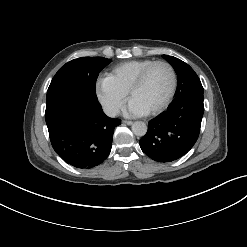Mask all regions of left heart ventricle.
Instances as JSON below:
<instances>
[{"label":"left heart ventricle","instance_id":"obj_1","mask_svg":"<svg viewBox=\"0 0 247 247\" xmlns=\"http://www.w3.org/2000/svg\"><path fill=\"white\" fill-rule=\"evenodd\" d=\"M172 84V76L168 67L158 65L148 74L145 82L131 96L147 112L158 107L167 97Z\"/></svg>","mask_w":247,"mask_h":247}]
</instances>
